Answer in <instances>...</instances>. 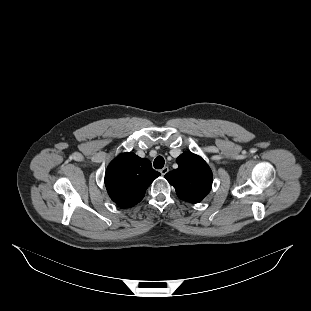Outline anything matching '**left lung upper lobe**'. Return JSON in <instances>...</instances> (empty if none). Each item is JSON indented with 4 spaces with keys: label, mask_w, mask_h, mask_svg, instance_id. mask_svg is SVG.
<instances>
[{
    "label": "left lung upper lobe",
    "mask_w": 311,
    "mask_h": 311,
    "mask_svg": "<svg viewBox=\"0 0 311 311\" xmlns=\"http://www.w3.org/2000/svg\"><path fill=\"white\" fill-rule=\"evenodd\" d=\"M178 168L168 172L165 178L174 186L180 199L198 203L210 192L212 172L198 155L185 152L177 160Z\"/></svg>",
    "instance_id": "left-lung-upper-lobe-1"
}]
</instances>
